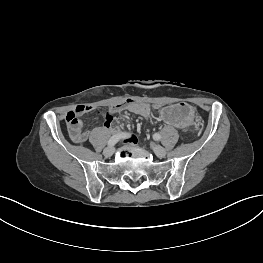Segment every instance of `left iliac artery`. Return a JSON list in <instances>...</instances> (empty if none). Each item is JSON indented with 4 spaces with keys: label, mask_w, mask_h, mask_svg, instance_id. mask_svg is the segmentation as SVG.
I'll list each match as a JSON object with an SVG mask.
<instances>
[{
    "label": "left iliac artery",
    "mask_w": 263,
    "mask_h": 263,
    "mask_svg": "<svg viewBox=\"0 0 263 263\" xmlns=\"http://www.w3.org/2000/svg\"><path fill=\"white\" fill-rule=\"evenodd\" d=\"M153 139L156 140V141H159L161 139V135L159 133H155L153 135Z\"/></svg>",
    "instance_id": "left-iliac-artery-1"
}]
</instances>
